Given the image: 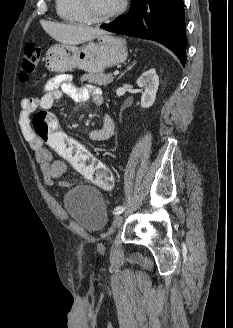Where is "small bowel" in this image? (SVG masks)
<instances>
[{
	"instance_id": "1",
	"label": "small bowel",
	"mask_w": 233,
	"mask_h": 328,
	"mask_svg": "<svg viewBox=\"0 0 233 328\" xmlns=\"http://www.w3.org/2000/svg\"><path fill=\"white\" fill-rule=\"evenodd\" d=\"M63 95H67L76 102L86 101L88 98H92L97 105L103 102L102 91L97 86L91 84L77 86L69 75L61 74L46 83L41 96L25 97L20 104L19 126L21 132L34 150L36 160L41 165L44 182L48 186L67 187L69 185L66 181L56 182L65 174L67 165L62 160L54 159L52 153L45 147V143L32 133L31 117L37 109H50ZM113 133V120L109 115H104L102 126L92 130L89 137L93 141L101 142L110 139Z\"/></svg>"
}]
</instances>
